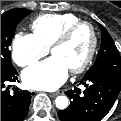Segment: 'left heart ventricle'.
I'll return each mask as SVG.
<instances>
[{
  "instance_id": "b2bd125f",
  "label": "left heart ventricle",
  "mask_w": 121,
  "mask_h": 121,
  "mask_svg": "<svg viewBox=\"0 0 121 121\" xmlns=\"http://www.w3.org/2000/svg\"><path fill=\"white\" fill-rule=\"evenodd\" d=\"M91 44V34L87 27L78 29L64 44L55 47L52 54L60 57L69 69L79 65L86 57Z\"/></svg>"
}]
</instances>
